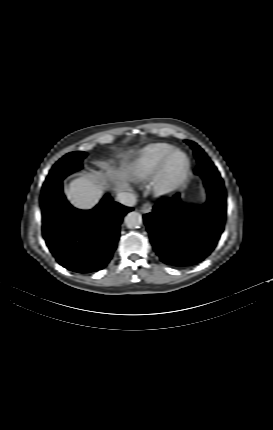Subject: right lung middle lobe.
<instances>
[{"mask_svg":"<svg viewBox=\"0 0 273 430\" xmlns=\"http://www.w3.org/2000/svg\"><path fill=\"white\" fill-rule=\"evenodd\" d=\"M86 153L76 151L66 154L60 159L51 169L48 177L43 185V190H48L60 183L67 175L76 172L82 167V160L86 157Z\"/></svg>","mask_w":273,"mask_h":430,"instance_id":"dd1d6c3e","label":"right lung middle lobe"}]
</instances>
